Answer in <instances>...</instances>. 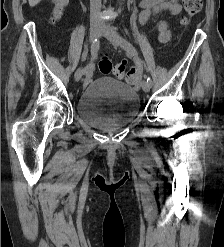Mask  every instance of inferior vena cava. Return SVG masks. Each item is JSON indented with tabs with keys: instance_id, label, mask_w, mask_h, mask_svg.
<instances>
[{
	"instance_id": "inferior-vena-cava-1",
	"label": "inferior vena cava",
	"mask_w": 224,
	"mask_h": 247,
	"mask_svg": "<svg viewBox=\"0 0 224 247\" xmlns=\"http://www.w3.org/2000/svg\"><path fill=\"white\" fill-rule=\"evenodd\" d=\"M101 0H90V20L93 24L104 26V22L100 14Z\"/></svg>"
}]
</instances>
